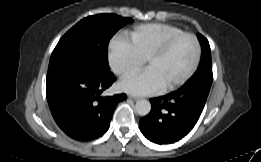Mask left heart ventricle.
<instances>
[{
	"instance_id": "b2bd125f",
	"label": "left heart ventricle",
	"mask_w": 261,
	"mask_h": 162,
	"mask_svg": "<svg viewBox=\"0 0 261 162\" xmlns=\"http://www.w3.org/2000/svg\"><path fill=\"white\" fill-rule=\"evenodd\" d=\"M195 58V44L190 37H183L162 56L152 59L147 68L153 70L163 87L182 76L191 68Z\"/></svg>"
}]
</instances>
